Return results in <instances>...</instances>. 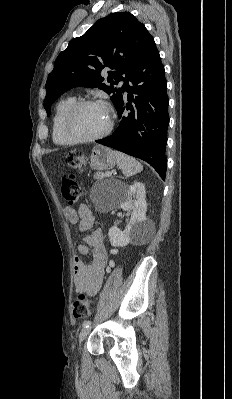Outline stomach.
Here are the masks:
<instances>
[{
  "label": "stomach",
  "instance_id": "obj_1",
  "mask_svg": "<svg viewBox=\"0 0 232 399\" xmlns=\"http://www.w3.org/2000/svg\"><path fill=\"white\" fill-rule=\"evenodd\" d=\"M116 156L105 146H94L90 156L92 170H112L116 164Z\"/></svg>",
  "mask_w": 232,
  "mask_h": 399
}]
</instances>
